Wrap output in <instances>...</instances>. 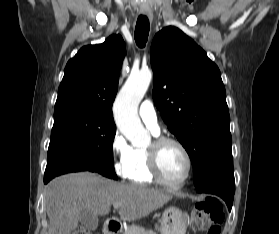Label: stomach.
Segmentation results:
<instances>
[{
	"label": "stomach",
	"mask_w": 279,
	"mask_h": 234,
	"mask_svg": "<svg viewBox=\"0 0 279 234\" xmlns=\"http://www.w3.org/2000/svg\"><path fill=\"white\" fill-rule=\"evenodd\" d=\"M188 216L176 207L166 209L160 219L161 234H185Z\"/></svg>",
	"instance_id": "obj_1"
}]
</instances>
